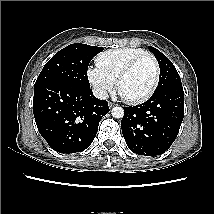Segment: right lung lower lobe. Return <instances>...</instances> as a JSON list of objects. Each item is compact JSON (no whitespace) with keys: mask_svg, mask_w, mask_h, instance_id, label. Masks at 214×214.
I'll use <instances>...</instances> for the list:
<instances>
[{"mask_svg":"<svg viewBox=\"0 0 214 214\" xmlns=\"http://www.w3.org/2000/svg\"><path fill=\"white\" fill-rule=\"evenodd\" d=\"M108 102L96 98L90 87L52 81L34 90L33 113L48 145L61 153H76L93 142Z\"/></svg>","mask_w":214,"mask_h":214,"instance_id":"1","label":"right lung lower lobe"}]
</instances>
